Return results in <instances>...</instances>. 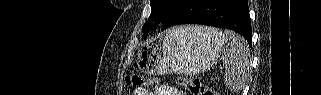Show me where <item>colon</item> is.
Listing matches in <instances>:
<instances>
[{
  "label": "colon",
  "mask_w": 321,
  "mask_h": 95,
  "mask_svg": "<svg viewBox=\"0 0 321 95\" xmlns=\"http://www.w3.org/2000/svg\"><path fill=\"white\" fill-rule=\"evenodd\" d=\"M125 81L128 85L134 87H155L159 82V78H146L137 74H127ZM177 84L184 87L191 94L218 95L215 90L207 87L197 78L181 77L177 79Z\"/></svg>",
  "instance_id": "colon-1"
}]
</instances>
